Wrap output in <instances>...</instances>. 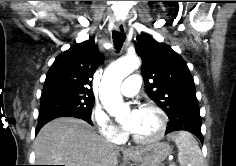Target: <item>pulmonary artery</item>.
I'll list each match as a JSON object with an SVG mask.
<instances>
[{"label":"pulmonary artery","mask_w":236,"mask_h":166,"mask_svg":"<svg viewBox=\"0 0 236 166\" xmlns=\"http://www.w3.org/2000/svg\"><path fill=\"white\" fill-rule=\"evenodd\" d=\"M141 85V77L135 73L130 75L121 85V94L126 97L134 96Z\"/></svg>","instance_id":"1"}]
</instances>
